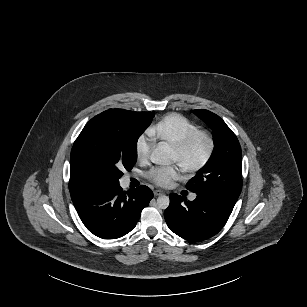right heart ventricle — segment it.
<instances>
[{
  "instance_id": "obj_1",
  "label": "right heart ventricle",
  "mask_w": 307,
  "mask_h": 307,
  "mask_svg": "<svg viewBox=\"0 0 307 307\" xmlns=\"http://www.w3.org/2000/svg\"><path fill=\"white\" fill-rule=\"evenodd\" d=\"M196 133L197 128L186 118L173 113L146 128V134L154 141L155 148L163 143L169 146L180 145Z\"/></svg>"
}]
</instances>
